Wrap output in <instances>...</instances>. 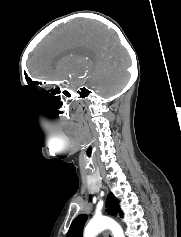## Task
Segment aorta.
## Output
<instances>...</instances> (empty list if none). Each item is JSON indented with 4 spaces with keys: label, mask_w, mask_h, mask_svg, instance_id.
<instances>
[{
    "label": "aorta",
    "mask_w": 181,
    "mask_h": 237,
    "mask_svg": "<svg viewBox=\"0 0 181 237\" xmlns=\"http://www.w3.org/2000/svg\"><path fill=\"white\" fill-rule=\"evenodd\" d=\"M105 229H111L114 237H124L120 225L106 216L94 217L85 227L83 237H96Z\"/></svg>",
    "instance_id": "obj_1"
}]
</instances>
